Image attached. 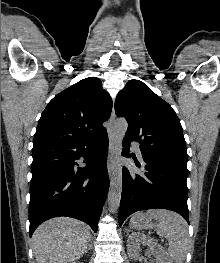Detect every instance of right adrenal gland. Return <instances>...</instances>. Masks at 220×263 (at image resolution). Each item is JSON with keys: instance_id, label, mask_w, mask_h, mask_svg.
Returning <instances> with one entry per match:
<instances>
[{"instance_id": "obj_1", "label": "right adrenal gland", "mask_w": 220, "mask_h": 263, "mask_svg": "<svg viewBox=\"0 0 220 263\" xmlns=\"http://www.w3.org/2000/svg\"><path fill=\"white\" fill-rule=\"evenodd\" d=\"M91 248H92V240H91V242H90V244L88 246V249H91Z\"/></svg>"}]
</instances>
